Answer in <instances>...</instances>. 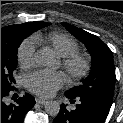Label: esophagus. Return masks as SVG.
I'll list each match as a JSON object with an SVG mask.
<instances>
[{"label": "esophagus", "instance_id": "1", "mask_svg": "<svg viewBox=\"0 0 123 123\" xmlns=\"http://www.w3.org/2000/svg\"><path fill=\"white\" fill-rule=\"evenodd\" d=\"M36 102H37L38 104H41V105H44V104H46V103H47V101H46V100H44V99H40V98H36Z\"/></svg>", "mask_w": 123, "mask_h": 123}]
</instances>
